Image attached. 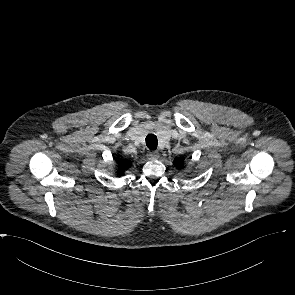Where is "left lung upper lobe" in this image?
<instances>
[{"mask_svg":"<svg viewBox=\"0 0 295 295\" xmlns=\"http://www.w3.org/2000/svg\"><path fill=\"white\" fill-rule=\"evenodd\" d=\"M174 165L177 166L178 168L183 167V165H184V159H182V158H176L174 160Z\"/></svg>","mask_w":295,"mask_h":295,"instance_id":"left-lung-upper-lobe-1","label":"left lung upper lobe"}]
</instances>
